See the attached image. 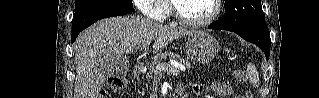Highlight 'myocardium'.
<instances>
[{
  "label": "myocardium",
  "mask_w": 319,
  "mask_h": 98,
  "mask_svg": "<svg viewBox=\"0 0 319 98\" xmlns=\"http://www.w3.org/2000/svg\"><path fill=\"white\" fill-rule=\"evenodd\" d=\"M214 10L210 16L202 20H190L185 18L178 9L175 1H171L172 13L174 17L183 25L190 28H202L212 24L220 15L222 10V1L221 0H213Z\"/></svg>",
  "instance_id": "1"
}]
</instances>
